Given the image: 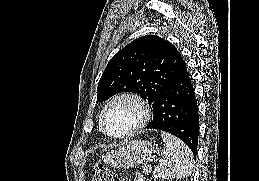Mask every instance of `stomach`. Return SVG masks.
I'll return each instance as SVG.
<instances>
[{
	"label": "stomach",
	"instance_id": "0dacf381",
	"mask_svg": "<svg viewBox=\"0 0 259 181\" xmlns=\"http://www.w3.org/2000/svg\"><path fill=\"white\" fill-rule=\"evenodd\" d=\"M157 151L149 141L134 140L109 152L105 159L113 167L129 169L153 160Z\"/></svg>",
	"mask_w": 259,
	"mask_h": 181
}]
</instances>
